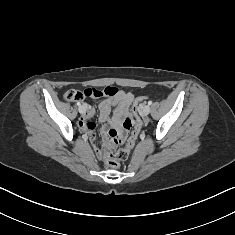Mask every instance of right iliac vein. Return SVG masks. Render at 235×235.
Returning <instances> with one entry per match:
<instances>
[{"mask_svg": "<svg viewBox=\"0 0 235 235\" xmlns=\"http://www.w3.org/2000/svg\"><path fill=\"white\" fill-rule=\"evenodd\" d=\"M78 110H79L80 114H82V115L85 114V112H86V109L84 106H80Z\"/></svg>", "mask_w": 235, "mask_h": 235, "instance_id": "63e3f726", "label": "right iliac vein"}]
</instances>
